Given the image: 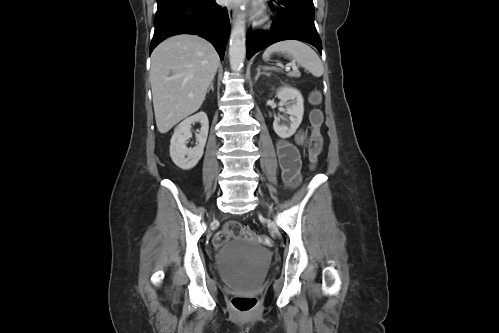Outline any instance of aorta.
Wrapping results in <instances>:
<instances>
[{
	"mask_svg": "<svg viewBox=\"0 0 499 333\" xmlns=\"http://www.w3.org/2000/svg\"><path fill=\"white\" fill-rule=\"evenodd\" d=\"M246 26L245 16L239 15L230 34L229 61L231 70L235 73L241 71L246 54Z\"/></svg>",
	"mask_w": 499,
	"mask_h": 333,
	"instance_id": "aorta-1",
	"label": "aorta"
}]
</instances>
